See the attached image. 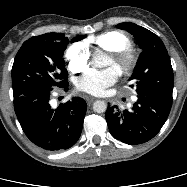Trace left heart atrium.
Masks as SVG:
<instances>
[{
  "label": "left heart atrium",
  "mask_w": 187,
  "mask_h": 187,
  "mask_svg": "<svg viewBox=\"0 0 187 187\" xmlns=\"http://www.w3.org/2000/svg\"><path fill=\"white\" fill-rule=\"evenodd\" d=\"M120 72L115 67L103 70L92 69L80 76L76 81V88L91 95H102L106 89L115 84Z\"/></svg>",
  "instance_id": "obj_1"
}]
</instances>
